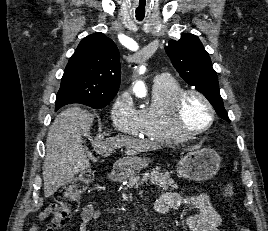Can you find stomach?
I'll list each match as a JSON object with an SVG mask.
<instances>
[{"instance_id":"0dacf381","label":"stomach","mask_w":268,"mask_h":231,"mask_svg":"<svg viewBox=\"0 0 268 231\" xmlns=\"http://www.w3.org/2000/svg\"><path fill=\"white\" fill-rule=\"evenodd\" d=\"M150 159L146 157L127 156L117 161L116 166L125 178L136 176L146 168ZM220 157L212 149L202 148L190 151L182 156L177 163L179 176L193 180L204 181L212 178L219 170Z\"/></svg>"}]
</instances>
